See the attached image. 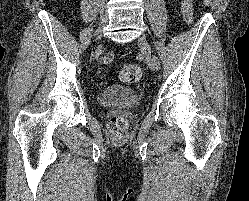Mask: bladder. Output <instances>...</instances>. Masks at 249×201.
<instances>
[{"mask_svg": "<svg viewBox=\"0 0 249 201\" xmlns=\"http://www.w3.org/2000/svg\"><path fill=\"white\" fill-rule=\"evenodd\" d=\"M140 103L141 97L135 89L117 84L104 88L99 99V105L104 108L113 105L137 107Z\"/></svg>", "mask_w": 249, "mask_h": 201, "instance_id": "obj_1", "label": "bladder"}]
</instances>
